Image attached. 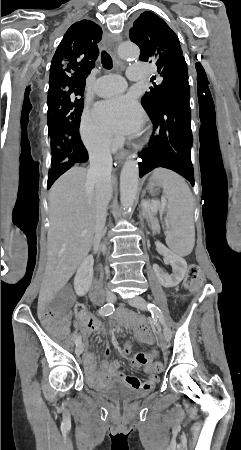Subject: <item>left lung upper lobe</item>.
Segmentation results:
<instances>
[{"label":"left lung upper lobe","instance_id":"obj_1","mask_svg":"<svg viewBox=\"0 0 241 450\" xmlns=\"http://www.w3.org/2000/svg\"><path fill=\"white\" fill-rule=\"evenodd\" d=\"M129 37L141 50L139 59L156 63L163 78L160 85L150 87L141 99L147 113L190 95L187 65L178 37L165 21L146 11L134 22Z\"/></svg>","mask_w":241,"mask_h":450}]
</instances>
